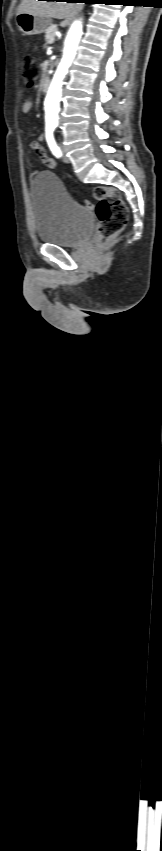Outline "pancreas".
<instances>
[{
	"mask_svg": "<svg viewBox=\"0 0 162 851\" xmlns=\"http://www.w3.org/2000/svg\"><path fill=\"white\" fill-rule=\"evenodd\" d=\"M57 31L56 25H51L45 32V40L47 44H51L54 41L55 32Z\"/></svg>",
	"mask_w": 162,
	"mask_h": 851,
	"instance_id": "pancreas-1",
	"label": "pancreas"
}]
</instances>
